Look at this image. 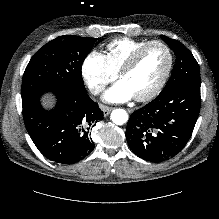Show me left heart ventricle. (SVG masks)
Instances as JSON below:
<instances>
[{
  "instance_id": "1",
  "label": "left heart ventricle",
  "mask_w": 219,
  "mask_h": 219,
  "mask_svg": "<svg viewBox=\"0 0 219 219\" xmlns=\"http://www.w3.org/2000/svg\"><path fill=\"white\" fill-rule=\"evenodd\" d=\"M168 64V54L160 45L150 46L140 57L135 66L125 73V81L134 96L149 92L161 79Z\"/></svg>"
}]
</instances>
